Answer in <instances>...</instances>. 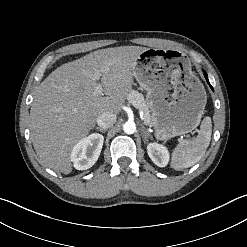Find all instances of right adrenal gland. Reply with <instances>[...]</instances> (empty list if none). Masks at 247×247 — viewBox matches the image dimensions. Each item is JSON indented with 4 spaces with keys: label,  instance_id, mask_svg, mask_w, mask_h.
Here are the masks:
<instances>
[{
    "label": "right adrenal gland",
    "instance_id": "2a0ac1e0",
    "mask_svg": "<svg viewBox=\"0 0 247 247\" xmlns=\"http://www.w3.org/2000/svg\"><path fill=\"white\" fill-rule=\"evenodd\" d=\"M96 130L100 131L101 133H105L107 130L103 128L96 127Z\"/></svg>",
    "mask_w": 247,
    "mask_h": 247
}]
</instances>
